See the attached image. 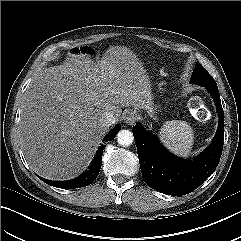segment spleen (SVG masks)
<instances>
[{"instance_id":"spleen-1","label":"spleen","mask_w":241,"mask_h":241,"mask_svg":"<svg viewBox=\"0 0 241 241\" xmlns=\"http://www.w3.org/2000/svg\"><path fill=\"white\" fill-rule=\"evenodd\" d=\"M161 143L173 154L186 158L191 153L194 134L185 121H169L159 131Z\"/></svg>"}]
</instances>
